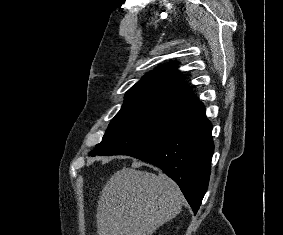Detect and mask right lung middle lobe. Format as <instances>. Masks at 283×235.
<instances>
[{
  "label": "right lung middle lobe",
  "instance_id": "right-lung-middle-lobe-1",
  "mask_svg": "<svg viewBox=\"0 0 283 235\" xmlns=\"http://www.w3.org/2000/svg\"><path fill=\"white\" fill-rule=\"evenodd\" d=\"M189 105L168 101L125 102L92 156L121 155L147 145L169 131Z\"/></svg>",
  "mask_w": 283,
  "mask_h": 235
}]
</instances>
